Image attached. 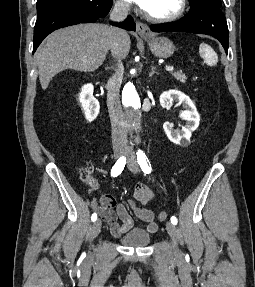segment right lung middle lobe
<instances>
[{
    "mask_svg": "<svg viewBox=\"0 0 255 287\" xmlns=\"http://www.w3.org/2000/svg\"><path fill=\"white\" fill-rule=\"evenodd\" d=\"M111 6L112 0H38L37 19L51 13L72 9H84L96 15H105Z\"/></svg>",
    "mask_w": 255,
    "mask_h": 287,
    "instance_id": "1",
    "label": "right lung middle lobe"
}]
</instances>
